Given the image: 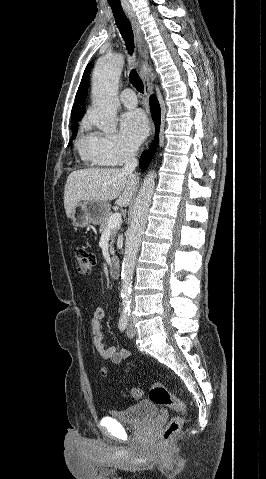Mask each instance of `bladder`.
Listing matches in <instances>:
<instances>
[{"label":"bladder","mask_w":266,"mask_h":479,"mask_svg":"<svg viewBox=\"0 0 266 479\" xmlns=\"http://www.w3.org/2000/svg\"><path fill=\"white\" fill-rule=\"evenodd\" d=\"M158 412L157 406L152 401H140L122 410H109V416L125 424H141Z\"/></svg>","instance_id":"bladder-1"}]
</instances>
